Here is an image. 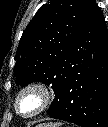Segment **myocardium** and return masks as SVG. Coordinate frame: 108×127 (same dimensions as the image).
<instances>
[{
	"instance_id": "obj_1",
	"label": "myocardium",
	"mask_w": 108,
	"mask_h": 127,
	"mask_svg": "<svg viewBox=\"0 0 108 127\" xmlns=\"http://www.w3.org/2000/svg\"><path fill=\"white\" fill-rule=\"evenodd\" d=\"M28 95H35L38 99L36 106L30 111H23L21 102ZM53 100V91L44 82L33 81L24 85L16 94L14 109L23 118H32L44 112Z\"/></svg>"
}]
</instances>
